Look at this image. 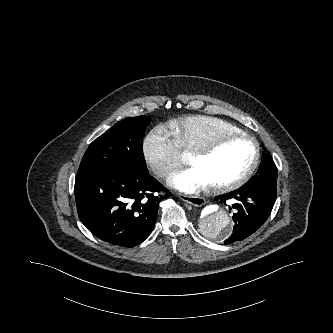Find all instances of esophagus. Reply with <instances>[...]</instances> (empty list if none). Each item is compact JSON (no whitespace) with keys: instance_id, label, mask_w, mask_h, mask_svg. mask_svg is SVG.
Listing matches in <instances>:
<instances>
[{"instance_id":"esophagus-1","label":"esophagus","mask_w":333,"mask_h":333,"mask_svg":"<svg viewBox=\"0 0 333 333\" xmlns=\"http://www.w3.org/2000/svg\"><path fill=\"white\" fill-rule=\"evenodd\" d=\"M179 198L194 206H202L205 203L204 198H202L200 196H189V195H185V194H179Z\"/></svg>"}]
</instances>
